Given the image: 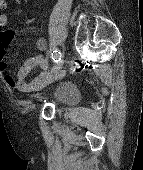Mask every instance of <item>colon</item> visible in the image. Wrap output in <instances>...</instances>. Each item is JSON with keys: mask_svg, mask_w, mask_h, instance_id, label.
Segmentation results:
<instances>
[{"mask_svg": "<svg viewBox=\"0 0 143 170\" xmlns=\"http://www.w3.org/2000/svg\"><path fill=\"white\" fill-rule=\"evenodd\" d=\"M5 7L4 0H0V10H3Z\"/></svg>", "mask_w": 143, "mask_h": 170, "instance_id": "5ec220e1", "label": "colon"}]
</instances>
